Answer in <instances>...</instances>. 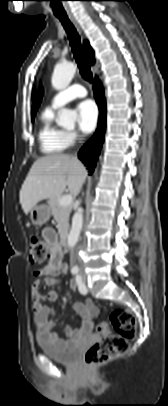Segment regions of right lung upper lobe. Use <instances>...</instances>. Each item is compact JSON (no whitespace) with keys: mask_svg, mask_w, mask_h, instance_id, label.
<instances>
[{"mask_svg":"<svg viewBox=\"0 0 168 406\" xmlns=\"http://www.w3.org/2000/svg\"><path fill=\"white\" fill-rule=\"evenodd\" d=\"M84 50L86 53V57L88 58V61L90 62L91 65L94 64L95 59H94V52L92 50V48L90 47L89 43L87 41L84 42ZM40 97L38 99H36V101L34 102V105L32 107V118H34L35 113L39 107L40 104Z\"/></svg>","mask_w":168,"mask_h":406,"instance_id":"right-lung-upper-lobe-1","label":"right lung upper lobe"}]
</instances>
